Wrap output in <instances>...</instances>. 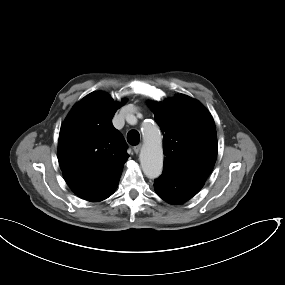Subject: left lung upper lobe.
<instances>
[{"label":"left lung upper lobe","instance_id":"5c2ea615","mask_svg":"<svg viewBox=\"0 0 285 285\" xmlns=\"http://www.w3.org/2000/svg\"><path fill=\"white\" fill-rule=\"evenodd\" d=\"M150 105L164 133L163 170L204 183L218 150L211 114L200 102L184 94Z\"/></svg>","mask_w":285,"mask_h":285}]
</instances>
